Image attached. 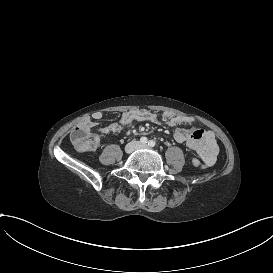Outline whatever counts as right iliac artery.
Instances as JSON below:
<instances>
[{"mask_svg": "<svg viewBox=\"0 0 273 273\" xmlns=\"http://www.w3.org/2000/svg\"><path fill=\"white\" fill-rule=\"evenodd\" d=\"M147 138L146 137H141V139H140V142L142 143V144H145V143H147Z\"/></svg>", "mask_w": 273, "mask_h": 273, "instance_id": "82829eb1", "label": "right iliac artery"}]
</instances>
